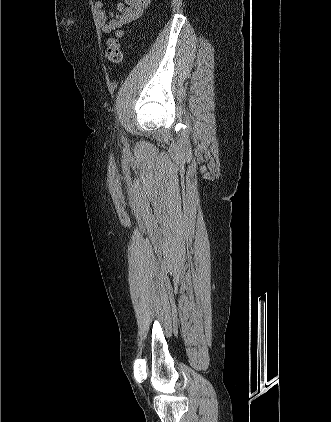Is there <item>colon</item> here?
<instances>
[{
    "instance_id": "obj_1",
    "label": "colon",
    "mask_w": 331,
    "mask_h": 422,
    "mask_svg": "<svg viewBox=\"0 0 331 422\" xmlns=\"http://www.w3.org/2000/svg\"><path fill=\"white\" fill-rule=\"evenodd\" d=\"M106 58L112 64H119L122 60V47L120 41L110 37L106 43Z\"/></svg>"
}]
</instances>
